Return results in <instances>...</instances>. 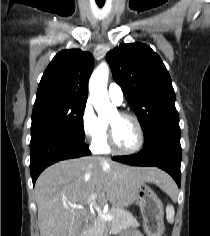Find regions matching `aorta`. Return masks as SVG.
Masks as SVG:
<instances>
[{"label":"aorta","mask_w":210,"mask_h":236,"mask_svg":"<svg viewBox=\"0 0 210 236\" xmlns=\"http://www.w3.org/2000/svg\"><path fill=\"white\" fill-rule=\"evenodd\" d=\"M108 77L109 66L103 62L93 71L89 80L90 97L100 118H107L117 111L109 100Z\"/></svg>","instance_id":"obj_1"}]
</instances>
